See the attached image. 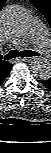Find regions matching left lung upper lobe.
<instances>
[{
  "mask_svg": "<svg viewBox=\"0 0 51 153\" xmlns=\"http://www.w3.org/2000/svg\"><path fill=\"white\" fill-rule=\"evenodd\" d=\"M41 13L44 14L51 25V0H29Z\"/></svg>",
  "mask_w": 51,
  "mask_h": 153,
  "instance_id": "5c2ea615",
  "label": "left lung upper lobe"
}]
</instances>
